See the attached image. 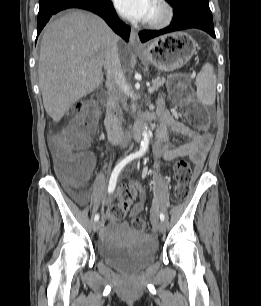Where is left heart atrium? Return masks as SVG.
I'll return each instance as SVG.
<instances>
[{"mask_svg": "<svg viewBox=\"0 0 261 306\" xmlns=\"http://www.w3.org/2000/svg\"><path fill=\"white\" fill-rule=\"evenodd\" d=\"M118 12L129 20H145L149 16L154 0H114Z\"/></svg>", "mask_w": 261, "mask_h": 306, "instance_id": "left-heart-atrium-1", "label": "left heart atrium"}]
</instances>
